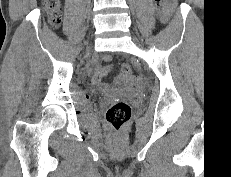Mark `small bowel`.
Returning a JSON list of instances; mask_svg holds the SVG:
<instances>
[{
  "label": "small bowel",
  "mask_w": 231,
  "mask_h": 177,
  "mask_svg": "<svg viewBox=\"0 0 231 177\" xmlns=\"http://www.w3.org/2000/svg\"><path fill=\"white\" fill-rule=\"evenodd\" d=\"M111 57L106 56L105 61L110 62ZM113 69V66L111 64H106L104 66H98L94 72L92 83L94 86L101 91L102 93L106 95H111L116 92H118L119 86H126L127 88H131L135 85L136 80L134 78H128L124 75L120 74L116 77L114 81V85L106 84L102 82V78L107 75L111 70Z\"/></svg>",
  "instance_id": "obj_1"
}]
</instances>
